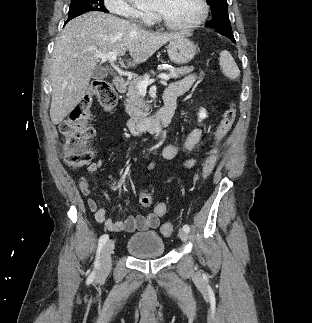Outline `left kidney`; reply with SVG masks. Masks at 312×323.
Masks as SVG:
<instances>
[{
  "label": "left kidney",
  "mask_w": 312,
  "mask_h": 323,
  "mask_svg": "<svg viewBox=\"0 0 312 323\" xmlns=\"http://www.w3.org/2000/svg\"><path fill=\"white\" fill-rule=\"evenodd\" d=\"M198 116H199L198 122H202V120H205V118H207V114H206L204 108H201Z\"/></svg>",
  "instance_id": "1"
}]
</instances>
